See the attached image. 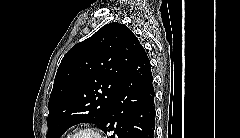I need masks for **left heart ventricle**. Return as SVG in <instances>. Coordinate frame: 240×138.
Instances as JSON below:
<instances>
[{"mask_svg":"<svg viewBox=\"0 0 240 138\" xmlns=\"http://www.w3.org/2000/svg\"><path fill=\"white\" fill-rule=\"evenodd\" d=\"M80 138H93V136L89 133H84L80 136Z\"/></svg>","mask_w":240,"mask_h":138,"instance_id":"left-heart-ventricle-1","label":"left heart ventricle"}]
</instances>
